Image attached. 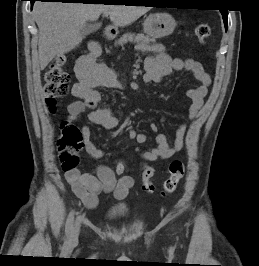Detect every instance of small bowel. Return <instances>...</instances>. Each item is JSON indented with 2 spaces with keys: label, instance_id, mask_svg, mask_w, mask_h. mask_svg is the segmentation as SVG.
<instances>
[{
  "label": "small bowel",
  "instance_id": "obj_1",
  "mask_svg": "<svg viewBox=\"0 0 259 266\" xmlns=\"http://www.w3.org/2000/svg\"><path fill=\"white\" fill-rule=\"evenodd\" d=\"M154 55L148 56L144 60L145 73L143 79L146 83H159L162 79L171 76L175 71L186 70L190 72L199 82V85L187 91V96L191 99L189 107V118L194 119L201 110L204 98L208 93L211 78L203 68L202 64L194 59H181L171 57L161 45L152 47ZM75 73L78 82L72 88V94L78 98L68 106V120L74 122L82 114L89 110L88 117L91 122L104 129H113L118 125V119L109 108L97 109L101 101L99 88L111 87L121 88L122 80L112 69L96 62V57L91 52L81 56L75 66ZM150 128L156 133V146L149 150L137 148L139 156L147 161L165 160L173 157L184 146L185 125L180 124L176 130L175 140L172 145L163 133H158L156 124H151ZM86 151L94 158H101L104 153L97 149L90 141V130L87 126L81 128ZM128 138L143 144L147 141V136L138 133L133 129L128 130ZM67 182L70 184L73 193L83 202L87 208H94L98 203V197L102 193H113L118 199L127 196L133 187V179L123 176L117 179L114 171L106 165H98L96 175L78 171L65 174Z\"/></svg>",
  "mask_w": 259,
  "mask_h": 266
}]
</instances>
